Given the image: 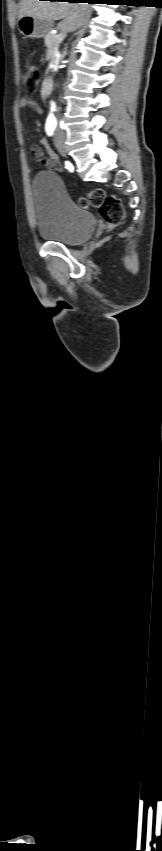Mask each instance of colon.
I'll list each match as a JSON object with an SVG mask.
<instances>
[{
	"instance_id": "5ec220e1",
	"label": "colon",
	"mask_w": 162,
	"mask_h": 851,
	"mask_svg": "<svg viewBox=\"0 0 162 851\" xmlns=\"http://www.w3.org/2000/svg\"><path fill=\"white\" fill-rule=\"evenodd\" d=\"M39 81V71L33 66H27L24 82L29 91H34ZM78 204L84 209L97 208L109 227L119 225L124 219V208L118 197L108 194L103 188H94L86 196L78 199Z\"/></svg>"
}]
</instances>
